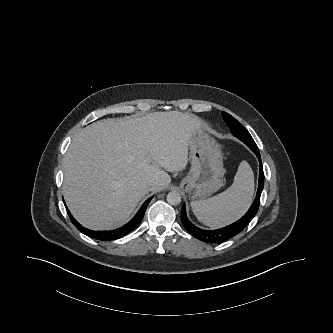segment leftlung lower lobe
<instances>
[{"label":"left lung lower lobe","mask_w":333,"mask_h":333,"mask_svg":"<svg viewBox=\"0 0 333 333\" xmlns=\"http://www.w3.org/2000/svg\"><path fill=\"white\" fill-rule=\"evenodd\" d=\"M257 156L260 164H259V184H258V190L256 198L251 205L250 209L247 211V213L238 221L235 223L226 226L221 229L217 230H203L195 225H193L186 216V209L185 204L182 207L181 210V222L184 226V228L194 237L198 238L199 240L206 242V243H220L225 240H228L232 238L233 236L240 233L253 219V217L256 215L259 204H260V196L264 187V172L263 167L261 164V157L258 147H252L250 148Z\"/></svg>","instance_id":"1"}]
</instances>
